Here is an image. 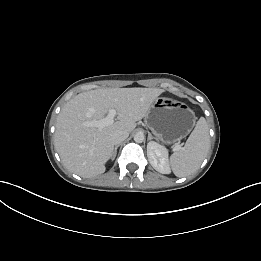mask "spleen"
Wrapping results in <instances>:
<instances>
[{
  "instance_id": "1",
  "label": "spleen",
  "mask_w": 261,
  "mask_h": 261,
  "mask_svg": "<svg viewBox=\"0 0 261 261\" xmlns=\"http://www.w3.org/2000/svg\"><path fill=\"white\" fill-rule=\"evenodd\" d=\"M210 148L209 128L204 117H201L187 139L181 151L170 157V166L177 177H185L195 173Z\"/></svg>"
}]
</instances>
